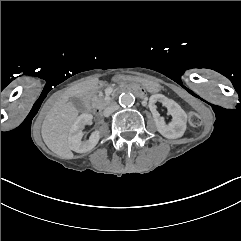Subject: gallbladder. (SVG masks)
<instances>
[{
	"instance_id": "obj_1",
	"label": "gallbladder",
	"mask_w": 241,
	"mask_h": 241,
	"mask_svg": "<svg viewBox=\"0 0 241 241\" xmlns=\"http://www.w3.org/2000/svg\"><path fill=\"white\" fill-rule=\"evenodd\" d=\"M71 101L74 102V104L78 108H80V109H84L85 108V103L81 99L72 98Z\"/></svg>"
}]
</instances>
